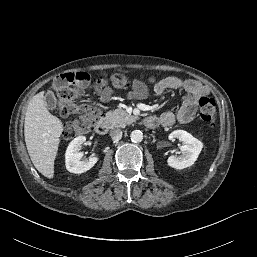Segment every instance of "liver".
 <instances>
[{
    "instance_id": "liver-1",
    "label": "liver",
    "mask_w": 257,
    "mask_h": 257,
    "mask_svg": "<svg viewBox=\"0 0 257 257\" xmlns=\"http://www.w3.org/2000/svg\"><path fill=\"white\" fill-rule=\"evenodd\" d=\"M63 130L62 121L48 111L44 92L33 96L25 114V142L35 168L49 179L54 176V161Z\"/></svg>"
}]
</instances>
